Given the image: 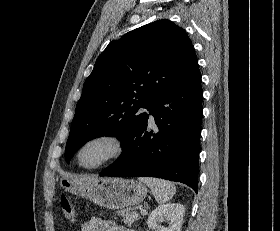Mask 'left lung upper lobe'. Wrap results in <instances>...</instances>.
<instances>
[{"label": "left lung upper lobe", "instance_id": "left-lung-upper-lobe-1", "mask_svg": "<svg viewBox=\"0 0 280 231\" xmlns=\"http://www.w3.org/2000/svg\"><path fill=\"white\" fill-rule=\"evenodd\" d=\"M199 69L185 30L161 19L109 43L86 79L77 103L65 159L86 142L133 132L155 101Z\"/></svg>", "mask_w": 280, "mask_h": 231}]
</instances>
